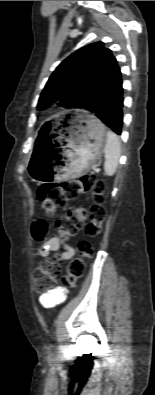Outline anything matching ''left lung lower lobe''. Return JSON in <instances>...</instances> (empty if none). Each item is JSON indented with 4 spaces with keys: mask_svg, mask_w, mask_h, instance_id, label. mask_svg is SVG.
<instances>
[{
    "mask_svg": "<svg viewBox=\"0 0 155 395\" xmlns=\"http://www.w3.org/2000/svg\"><path fill=\"white\" fill-rule=\"evenodd\" d=\"M123 81L116 66L98 84L92 94L80 103V109L94 114L118 135L123 125Z\"/></svg>",
    "mask_w": 155,
    "mask_h": 395,
    "instance_id": "0a47b994",
    "label": "left lung lower lobe"
}]
</instances>
